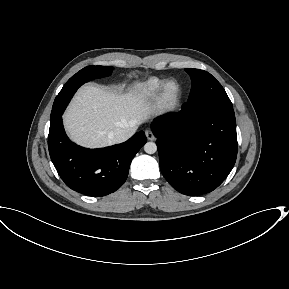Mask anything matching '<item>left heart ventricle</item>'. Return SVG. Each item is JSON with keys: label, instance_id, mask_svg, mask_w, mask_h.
I'll list each match as a JSON object with an SVG mask.
<instances>
[{"label": "left heart ventricle", "instance_id": "1", "mask_svg": "<svg viewBox=\"0 0 289 289\" xmlns=\"http://www.w3.org/2000/svg\"><path fill=\"white\" fill-rule=\"evenodd\" d=\"M174 89H175L174 85H171V86L169 87V91H174Z\"/></svg>", "mask_w": 289, "mask_h": 289}]
</instances>
